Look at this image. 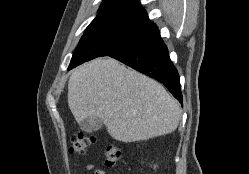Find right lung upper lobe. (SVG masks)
<instances>
[{"label": "right lung upper lobe", "instance_id": "1", "mask_svg": "<svg viewBox=\"0 0 249 174\" xmlns=\"http://www.w3.org/2000/svg\"><path fill=\"white\" fill-rule=\"evenodd\" d=\"M117 25H137L153 28L139 0H103L95 19L86 30L96 31Z\"/></svg>", "mask_w": 249, "mask_h": 174}]
</instances>
